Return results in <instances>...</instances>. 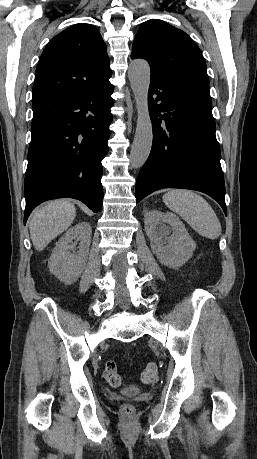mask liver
<instances>
[{
  "label": "liver",
  "mask_w": 257,
  "mask_h": 459,
  "mask_svg": "<svg viewBox=\"0 0 257 459\" xmlns=\"http://www.w3.org/2000/svg\"><path fill=\"white\" fill-rule=\"evenodd\" d=\"M76 208L68 200L48 202L32 213L29 222L30 237L36 250L42 251L54 238L72 224Z\"/></svg>",
  "instance_id": "1"
}]
</instances>
